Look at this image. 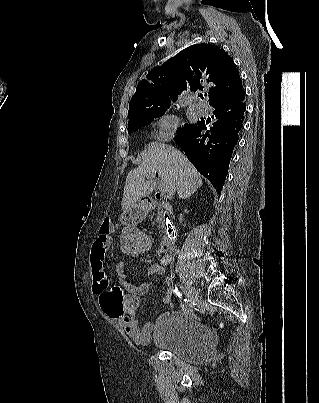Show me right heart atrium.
Instances as JSON below:
<instances>
[{"mask_svg": "<svg viewBox=\"0 0 319 403\" xmlns=\"http://www.w3.org/2000/svg\"><path fill=\"white\" fill-rule=\"evenodd\" d=\"M154 128V137L158 141H168L177 133L179 128V119L173 113H162L156 118Z\"/></svg>", "mask_w": 319, "mask_h": 403, "instance_id": "d8ad5b80", "label": "right heart atrium"}]
</instances>
